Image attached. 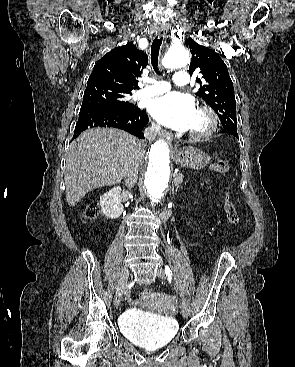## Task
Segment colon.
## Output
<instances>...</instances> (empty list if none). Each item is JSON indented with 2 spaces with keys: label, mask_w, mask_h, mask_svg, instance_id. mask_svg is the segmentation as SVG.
<instances>
[{
  "label": "colon",
  "mask_w": 295,
  "mask_h": 367,
  "mask_svg": "<svg viewBox=\"0 0 295 367\" xmlns=\"http://www.w3.org/2000/svg\"><path fill=\"white\" fill-rule=\"evenodd\" d=\"M210 168L213 172L219 175H225L229 171V162L225 159H219L215 161ZM223 208L228 221L234 225H237L239 223V215L234 203L231 201L228 195H226L224 198ZM98 213H99L98 202L96 201L90 202L84 210V218L93 219L98 215ZM141 295L142 297H148L151 295V291L144 290Z\"/></svg>",
  "instance_id": "colon-1"
}]
</instances>
